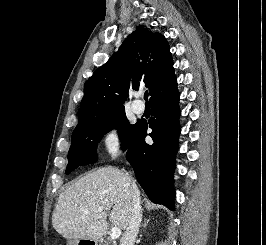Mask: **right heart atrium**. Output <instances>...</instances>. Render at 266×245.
Wrapping results in <instances>:
<instances>
[{"label": "right heart atrium", "mask_w": 266, "mask_h": 245, "mask_svg": "<svg viewBox=\"0 0 266 245\" xmlns=\"http://www.w3.org/2000/svg\"><path fill=\"white\" fill-rule=\"evenodd\" d=\"M121 135L118 129L110 128L99 138L100 155L105 159L116 158L121 151Z\"/></svg>", "instance_id": "right-heart-atrium-1"}]
</instances>
